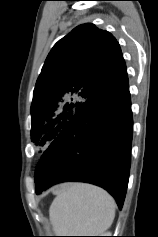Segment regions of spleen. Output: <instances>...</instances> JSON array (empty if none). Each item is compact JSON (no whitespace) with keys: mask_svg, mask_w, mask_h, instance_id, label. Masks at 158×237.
Here are the masks:
<instances>
[{"mask_svg":"<svg viewBox=\"0 0 158 237\" xmlns=\"http://www.w3.org/2000/svg\"><path fill=\"white\" fill-rule=\"evenodd\" d=\"M115 201L105 190L85 183L64 187L49 215L57 236H99L112 224Z\"/></svg>","mask_w":158,"mask_h":237,"instance_id":"3e777b00","label":"spleen"}]
</instances>
